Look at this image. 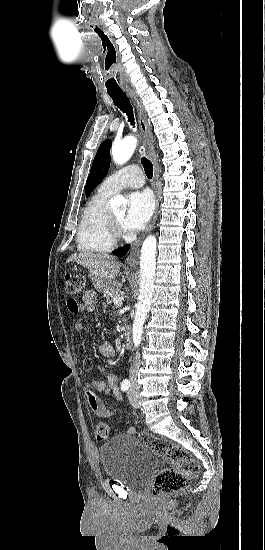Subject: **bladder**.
Wrapping results in <instances>:
<instances>
[{
    "mask_svg": "<svg viewBox=\"0 0 265 550\" xmlns=\"http://www.w3.org/2000/svg\"><path fill=\"white\" fill-rule=\"evenodd\" d=\"M99 455L103 474L129 486L145 481L159 464V456L130 434L111 438L100 447Z\"/></svg>",
    "mask_w": 265,
    "mask_h": 550,
    "instance_id": "bladder-1",
    "label": "bladder"
}]
</instances>
